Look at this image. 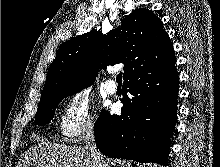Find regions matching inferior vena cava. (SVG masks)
<instances>
[{"label": "inferior vena cava", "instance_id": "inferior-vena-cava-1", "mask_svg": "<svg viewBox=\"0 0 220 167\" xmlns=\"http://www.w3.org/2000/svg\"><path fill=\"white\" fill-rule=\"evenodd\" d=\"M85 148L90 152L95 167H108L102 154L97 150L93 127L89 126L85 133Z\"/></svg>", "mask_w": 220, "mask_h": 167}]
</instances>
